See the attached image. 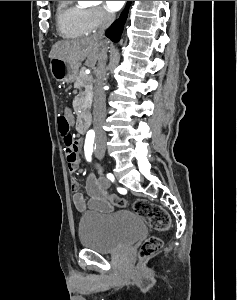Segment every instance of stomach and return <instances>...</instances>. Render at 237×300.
Returning <instances> with one entry per match:
<instances>
[{"instance_id": "0dacf381", "label": "stomach", "mask_w": 237, "mask_h": 300, "mask_svg": "<svg viewBox=\"0 0 237 300\" xmlns=\"http://www.w3.org/2000/svg\"><path fill=\"white\" fill-rule=\"evenodd\" d=\"M78 63L76 65H70L63 59H51L50 71L52 77L60 83H73L75 77L78 75Z\"/></svg>"}]
</instances>
